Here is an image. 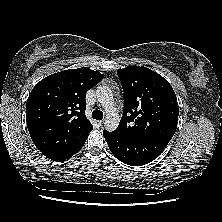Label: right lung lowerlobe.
<instances>
[{
	"label": "right lung lower lobe",
	"mask_w": 222,
	"mask_h": 222,
	"mask_svg": "<svg viewBox=\"0 0 222 222\" xmlns=\"http://www.w3.org/2000/svg\"><path fill=\"white\" fill-rule=\"evenodd\" d=\"M84 143L85 142L67 151H56L53 153H45L44 155L54 161H64L76 154L83 147Z\"/></svg>",
	"instance_id": "1"
}]
</instances>
